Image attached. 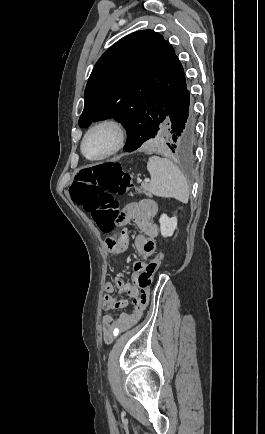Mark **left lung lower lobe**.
<instances>
[{"mask_svg": "<svg viewBox=\"0 0 265 434\" xmlns=\"http://www.w3.org/2000/svg\"><path fill=\"white\" fill-rule=\"evenodd\" d=\"M189 100V91L185 85L163 114L161 125L137 131L135 129L134 133L128 135L124 151L137 150L160 130L161 148L170 149L173 153L191 154L196 143V129Z\"/></svg>", "mask_w": 265, "mask_h": 434, "instance_id": "left-lung-lower-lobe-1", "label": "left lung lower lobe"}]
</instances>
